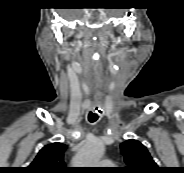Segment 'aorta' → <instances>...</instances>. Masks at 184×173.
<instances>
[{
    "label": "aorta",
    "mask_w": 184,
    "mask_h": 173,
    "mask_svg": "<svg viewBox=\"0 0 184 173\" xmlns=\"http://www.w3.org/2000/svg\"><path fill=\"white\" fill-rule=\"evenodd\" d=\"M104 153V145L98 138L88 139L76 156L75 164L80 167H96Z\"/></svg>",
    "instance_id": "1"
}]
</instances>
